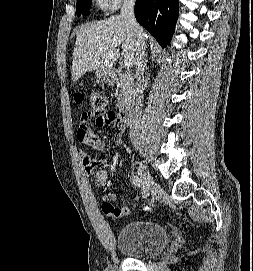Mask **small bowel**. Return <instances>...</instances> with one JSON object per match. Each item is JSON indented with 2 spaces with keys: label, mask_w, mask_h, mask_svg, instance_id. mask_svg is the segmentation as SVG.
Returning a JSON list of instances; mask_svg holds the SVG:
<instances>
[{
  "label": "small bowel",
  "mask_w": 253,
  "mask_h": 271,
  "mask_svg": "<svg viewBox=\"0 0 253 271\" xmlns=\"http://www.w3.org/2000/svg\"><path fill=\"white\" fill-rule=\"evenodd\" d=\"M94 117V114L91 112H85L81 115L79 126L77 128V137L78 140L84 144L91 146L94 150L100 153H104L106 150V145L104 141L97 135L93 134L91 132V129L89 127V121ZM114 124L113 120H110L107 118V116L104 114L98 115L96 118V125L99 128H105L112 126ZM117 134H116V143L121 144L122 143V133L124 131V128L121 126H117ZM81 164L83 166V169L86 173L91 174L93 173V183L96 187H104L107 184L108 181V172L106 170H98L94 171L95 167L102 163L104 161L103 158H92L90 155L86 154L85 152L79 150L78 152ZM117 197V193H110L106 194L103 197V200L105 201V204H108L109 207H102L104 213L110 218V219H118L124 216H127L131 213V209L129 207H115L111 204L112 201H114Z\"/></svg>",
  "instance_id": "1"
}]
</instances>
